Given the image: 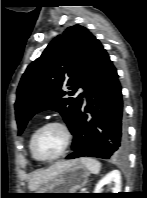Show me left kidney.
I'll list each match as a JSON object with an SVG mask.
<instances>
[{
  "mask_svg": "<svg viewBox=\"0 0 147 198\" xmlns=\"http://www.w3.org/2000/svg\"><path fill=\"white\" fill-rule=\"evenodd\" d=\"M112 182L114 183L112 193L121 192V174L118 170H113L97 183L94 193H102L103 186Z\"/></svg>",
  "mask_w": 147,
  "mask_h": 198,
  "instance_id": "obj_1",
  "label": "left kidney"
}]
</instances>
